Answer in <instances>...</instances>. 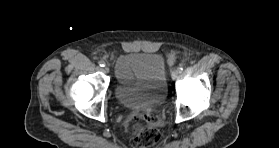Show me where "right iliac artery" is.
I'll list each match as a JSON object with an SVG mask.
<instances>
[{"label":"right iliac artery","instance_id":"right-iliac-artery-1","mask_svg":"<svg viewBox=\"0 0 279 148\" xmlns=\"http://www.w3.org/2000/svg\"><path fill=\"white\" fill-rule=\"evenodd\" d=\"M98 64L101 66V67H104L105 66V62L103 60L99 61Z\"/></svg>","mask_w":279,"mask_h":148}]
</instances>
